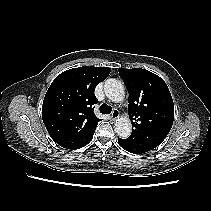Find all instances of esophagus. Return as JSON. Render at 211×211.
Listing matches in <instances>:
<instances>
[{"instance_id":"obj_1","label":"esophagus","mask_w":211,"mask_h":211,"mask_svg":"<svg viewBox=\"0 0 211 211\" xmlns=\"http://www.w3.org/2000/svg\"><path fill=\"white\" fill-rule=\"evenodd\" d=\"M119 117V111L117 109H114L110 115V118L112 120H116Z\"/></svg>"}]
</instances>
